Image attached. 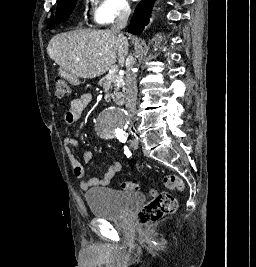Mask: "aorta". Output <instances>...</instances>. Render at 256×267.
Listing matches in <instances>:
<instances>
[{
    "mask_svg": "<svg viewBox=\"0 0 256 267\" xmlns=\"http://www.w3.org/2000/svg\"><path fill=\"white\" fill-rule=\"evenodd\" d=\"M109 117H96L99 127H126L125 117L109 113ZM98 138H109V133H120V128H97Z\"/></svg>",
    "mask_w": 256,
    "mask_h": 267,
    "instance_id": "obj_1",
    "label": "aorta"
}]
</instances>
